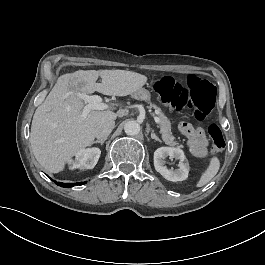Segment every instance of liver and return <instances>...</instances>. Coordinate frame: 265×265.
Masks as SVG:
<instances>
[{
	"label": "liver",
	"mask_w": 265,
	"mask_h": 265,
	"mask_svg": "<svg viewBox=\"0 0 265 265\" xmlns=\"http://www.w3.org/2000/svg\"><path fill=\"white\" fill-rule=\"evenodd\" d=\"M101 77L102 83H96ZM148 82L146 75L125 70H76L57 77L44 102L35 110L31 124L30 144L36 160L51 172L66 169L72 158L90 147L95 127L104 120L117 119L115 106L90 110L84 122L80 116L86 102L69 95L70 89L85 94L100 92L108 96L132 95Z\"/></svg>",
	"instance_id": "6515ba94"
}]
</instances>
